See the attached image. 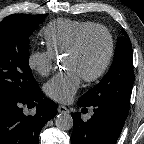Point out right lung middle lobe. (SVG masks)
Returning <instances> with one entry per match:
<instances>
[{
    "mask_svg": "<svg viewBox=\"0 0 144 144\" xmlns=\"http://www.w3.org/2000/svg\"><path fill=\"white\" fill-rule=\"evenodd\" d=\"M47 14H14L0 22V104L26 99L39 86L29 67V36Z\"/></svg>",
    "mask_w": 144,
    "mask_h": 144,
    "instance_id": "dd1d6c3e",
    "label": "right lung middle lobe"
}]
</instances>
